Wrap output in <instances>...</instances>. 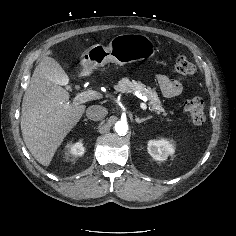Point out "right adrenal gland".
<instances>
[{
  "label": "right adrenal gland",
  "mask_w": 236,
  "mask_h": 236,
  "mask_svg": "<svg viewBox=\"0 0 236 236\" xmlns=\"http://www.w3.org/2000/svg\"><path fill=\"white\" fill-rule=\"evenodd\" d=\"M84 121H88V119H84Z\"/></svg>",
  "instance_id": "1"
}]
</instances>
